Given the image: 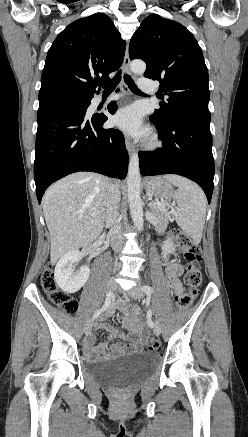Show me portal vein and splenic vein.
Segmentation results:
<instances>
[{
    "mask_svg": "<svg viewBox=\"0 0 248 437\" xmlns=\"http://www.w3.org/2000/svg\"><path fill=\"white\" fill-rule=\"evenodd\" d=\"M154 205H157V206H161V207H166V205H164V204H161V203H154ZM92 216H95V214H92Z\"/></svg>",
    "mask_w": 248,
    "mask_h": 437,
    "instance_id": "1",
    "label": "portal vein and splenic vein"
}]
</instances>
